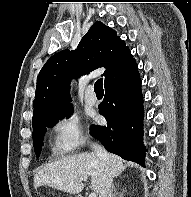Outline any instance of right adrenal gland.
Here are the masks:
<instances>
[{
  "mask_svg": "<svg viewBox=\"0 0 191 197\" xmlns=\"http://www.w3.org/2000/svg\"><path fill=\"white\" fill-rule=\"evenodd\" d=\"M118 194L119 193L117 192V190H115V186L112 185L109 197H117ZM120 197H122V194L120 195Z\"/></svg>",
  "mask_w": 191,
  "mask_h": 197,
  "instance_id": "obj_1",
  "label": "right adrenal gland"
}]
</instances>
